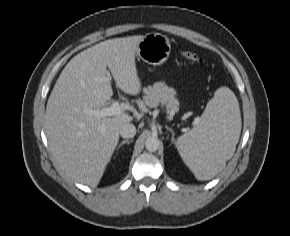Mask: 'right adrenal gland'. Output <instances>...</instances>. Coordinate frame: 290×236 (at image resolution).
Returning a JSON list of instances; mask_svg holds the SVG:
<instances>
[{"label":"right adrenal gland","instance_id":"obj_1","mask_svg":"<svg viewBox=\"0 0 290 236\" xmlns=\"http://www.w3.org/2000/svg\"><path fill=\"white\" fill-rule=\"evenodd\" d=\"M132 141H133L132 139H131V140H128V139L123 140V141L118 145L117 150H119V148H120L121 146H123L124 144H128V145H129Z\"/></svg>","mask_w":290,"mask_h":236}]
</instances>
